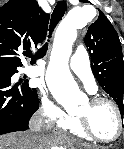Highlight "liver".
<instances>
[{"instance_id":"6515ba94","label":"liver","mask_w":124,"mask_h":149,"mask_svg":"<svg viewBox=\"0 0 124 149\" xmlns=\"http://www.w3.org/2000/svg\"><path fill=\"white\" fill-rule=\"evenodd\" d=\"M48 143L49 140L44 135L34 140L30 139L29 133L0 136V149H44ZM85 149H91V146H85Z\"/></svg>"}]
</instances>
